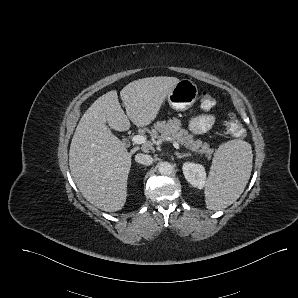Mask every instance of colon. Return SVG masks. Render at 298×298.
I'll use <instances>...</instances> for the list:
<instances>
[{"mask_svg": "<svg viewBox=\"0 0 298 298\" xmlns=\"http://www.w3.org/2000/svg\"><path fill=\"white\" fill-rule=\"evenodd\" d=\"M199 99H200L201 107L205 110L211 109L216 102L214 96L207 91H203L200 94ZM224 126H225V131L231 136L238 137V138L245 136V129L242 123L232 113L228 114L225 120Z\"/></svg>", "mask_w": 298, "mask_h": 298, "instance_id": "1", "label": "colon"}]
</instances>
